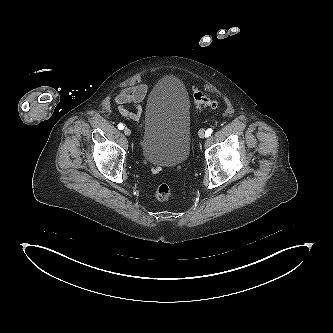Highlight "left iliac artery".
<instances>
[{"mask_svg": "<svg viewBox=\"0 0 333 333\" xmlns=\"http://www.w3.org/2000/svg\"><path fill=\"white\" fill-rule=\"evenodd\" d=\"M213 130L211 128L207 129V131H205V136L209 137L212 134Z\"/></svg>", "mask_w": 333, "mask_h": 333, "instance_id": "left-iliac-artery-1", "label": "left iliac artery"}]
</instances>
